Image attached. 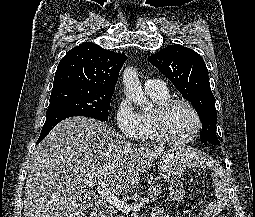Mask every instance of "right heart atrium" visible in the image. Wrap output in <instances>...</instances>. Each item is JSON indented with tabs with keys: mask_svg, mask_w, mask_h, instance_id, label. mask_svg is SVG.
Returning a JSON list of instances; mask_svg holds the SVG:
<instances>
[{
	"mask_svg": "<svg viewBox=\"0 0 255 217\" xmlns=\"http://www.w3.org/2000/svg\"><path fill=\"white\" fill-rule=\"evenodd\" d=\"M115 123L119 132L129 139H138L142 133L140 114L130 100L122 97L115 107Z\"/></svg>",
	"mask_w": 255,
	"mask_h": 217,
	"instance_id": "right-heart-atrium-1",
	"label": "right heart atrium"
}]
</instances>
